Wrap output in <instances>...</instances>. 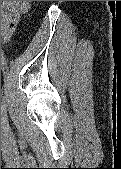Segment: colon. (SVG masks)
<instances>
[{"label":"colon","mask_w":121,"mask_h":169,"mask_svg":"<svg viewBox=\"0 0 121 169\" xmlns=\"http://www.w3.org/2000/svg\"><path fill=\"white\" fill-rule=\"evenodd\" d=\"M6 37L8 38L20 16L28 11L31 1H4Z\"/></svg>","instance_id":"5ec220e1"}]
</instances>
